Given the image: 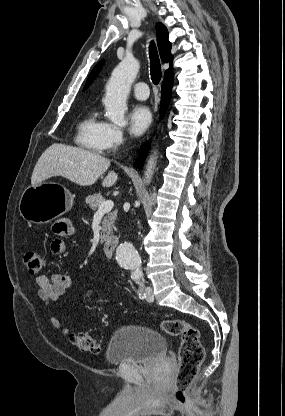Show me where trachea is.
Masks as SVG:
<instances>
[{"mask_svg":"<svg viewBox=\"0 0 285 416\" xmlns=\"http://www.w3.org/2000/svg\"><path fill=\"white\" fill-rule=\"evenodd\" d=\"M149 56L151 79L155 85H158L161 80V65L159 55L153 41L149 46Z\"/></svg>","mask_w":285,"mask_h":416,"instance_id":"obj_1","label":"trachea"}]
</instances>
